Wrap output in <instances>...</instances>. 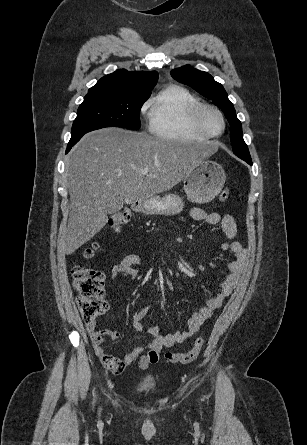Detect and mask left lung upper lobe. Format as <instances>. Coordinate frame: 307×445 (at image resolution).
Returning <instances> with one entry per match:
<instances>
[{"mask_svg": "<svg viewBox=\"0 0 307 445\" xmlns=\"http://www.w3.org/2000/svg\"><path fill=\"white\" fill-rule=\"evenodd\" d=\"M171 76L178 82L192 87L204 97L211 99L224 112L231 125L230 139L233 152L238 157L250 159L248 147L243 140L241 122L238 120L233 104L228 99L223 86L216 82L210 74L189 65L172 70Z\"/></svg>", "mask_w": 307, "mask_h": 445, "instance_id": "left-lung-upper-lobe-1", "label": "left lung upper lobe"}]
</instances>
